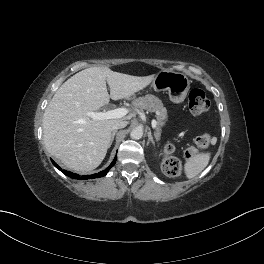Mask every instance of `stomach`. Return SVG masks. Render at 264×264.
Masks as SVG:
<instances>
[{
  "label": "stomach",
  "mask_w": 264,
  "mask_h": 264,
  "mask_svg": "<svg viewBox=\"0 0 264 264\" xmlns=\"http://www.w3.org/2000/svg\"><path fill=\"white\" fill-rule=\"evenodd\" d=\"M152 87L156 91H168L172 102L181 103L190 89V81L183 73L163 70L155 75Z\"/></svg>",
  "instance_id": "1"
}]
</instances>
